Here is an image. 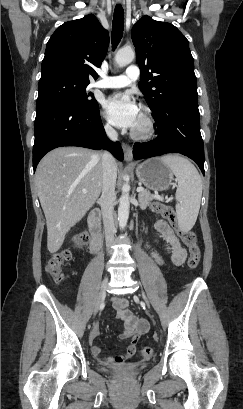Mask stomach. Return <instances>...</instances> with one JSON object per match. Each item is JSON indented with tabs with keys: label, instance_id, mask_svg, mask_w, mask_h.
<instances>
[{
	"label": "stomach",
	"instance_id": "stomach-1",
	"mask_svg": "<svg viewBox=\"0 0 243 409\" xmlns=\"http://www.w3.org/2000/svg\"><path fill=\"white\" fill-rule=\"evenodd\" d=\"M139 181L148 189L162 191L170 186L173 172L160 158L147 159L136 168Z\"/></svg>",
	"mask_w": 243,
	"mask_h": 409
}]
</instances>
